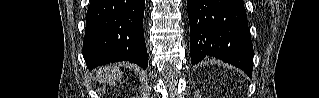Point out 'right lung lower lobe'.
Here are the masks:
<instances>
[{
	"instance_id": "right-lung-lower-lobe-1",
	"label": "right lung lower lobe",
	"mask_w": 319,
	"mask_h": 98,
	"mask_svg": "<svg viewBox=\"0 0 319 98\" xmlns=\"http://www.w3.org/2000/svg\"><path fill=\"white\" fill-rule=\"evenodd\" d=\"M144 7L145 0L90 1L83 42V56L89 69L126 60L147 68Z\"/></svg>"
}]
</instances>
